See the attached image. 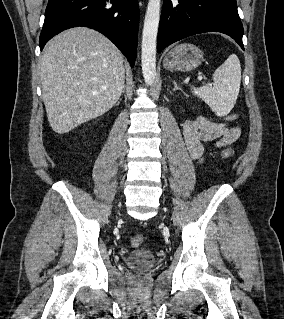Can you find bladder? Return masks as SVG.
I'll return each instance as SVG.
<instances>
[{
    "instance_id": "bladder-1",
    "label": "bladder",
    "mask_w": 284,
    "mask_h": 319,
    "mask_svg": "<svg viewBox=\"0 0 284 319\" xmlns=\"http://www.w3.org/2000/svg\"><path fill=\"white\" fill-rule=\"evenodd\" d=\"M126 265L135 271H147L156 263L154 253L147 249L132 251L125 259Z\"/></svg>"
}]
</instances>
